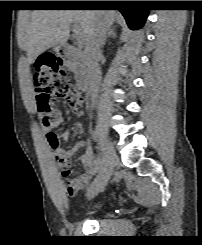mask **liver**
Masks as SVG:
<instances>
[{"mask_svg":"<svg viewBox=\"0 0 202 245\" xmlns=\"http://www.w3.org/2000/svg\"><path fill=\"white\" fill-rule=\"evenodd\" d=\"M99 15L105 17L111 26L117 13L95 10H34L22 40L28 60L32 63L49 48L66 44L70 37L71 24L80 26L86 44Z\"/></svg>","mask_w":202,"mask_h":245,"instance_id":"6515ba94","label":"liver"}]
</instances>
